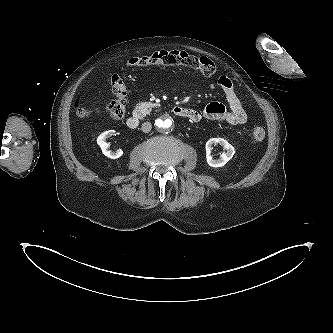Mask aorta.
<instances>
[{
	"label": "aorta",
	"mask_w": 333,
	"mask_h": 333,
	"mask_svg": "<svg viewBox=\"0 0 333 333\" xmlns=\"http://www.w3.org/2000/svg\"><path fill=\"white\" fill-rule=\"evenodd\" d=\"M156 126L159 131L166 132V131L170 130V128L172 126V121L168 117H163L156 121Z\"/></svg>",
	"instance_id": "762f6f07"
}]
</instances>
